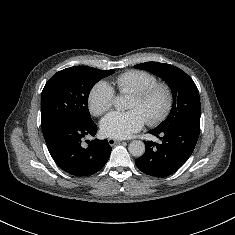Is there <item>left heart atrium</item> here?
I'll list each match as a JSON object with an SVG mask.
<instances>
[{"instance_id":"obj_1","label":"left heart atrium","mask_w":235,"mask_h":235,"mask_svg":"<svg viewBox=\"0 0 235 235\" xmlns=\"http://www.w3.org/2000/svg\"><path fill=\"white\" fill-rule=\"evenodd\" d=\"M146 122L147 118L140 110L114 111L102 119L100 127L107 137L125 139L139 131Z\"/></svg>"}]
</instances>
